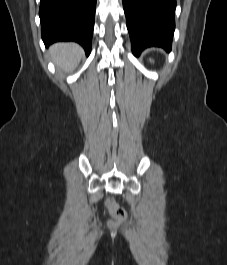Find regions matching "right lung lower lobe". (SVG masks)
Wrapping results in <instances>:
<instances>
[{"label":"right lung lower lobe","instance_id":"98d812e1","mask_svg":"<svg viewBox=\"0 0 227 265\" xmlns=\"http://www.w3.org/2000/svg\"><path fill=\"white\" fill-rule=\"evenodd\" d=\"M96 0H41L39 16L46 46L75 41L91 52Z\"/></svg>","mask_w":227,"mask_h":265}]
</instances>
